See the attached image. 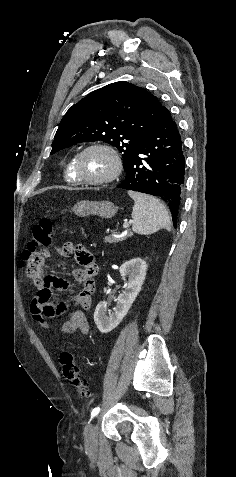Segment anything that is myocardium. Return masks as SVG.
<instances>
[{
    "label": "myocardium",
    "instance_id": "f54148a6",
    "mask_svg": "<svg viewBox=\"0 0 236 477\" xmlns=\"http://www.w3.org/2000/svg\"><path fill=\"white\" fill-rule=\"evenodd\" d=\"M91 150L102 151L111 159L112 169L109 174L97 179L86 178L81 174V171H80L81 159L87 152ZM73 169H74L75 175L77 176L79 184H88V185H95V186L105 185V184L111 183L119 176L122 170V161L118 152L113 147L104 143H93L83 148L77 154V156L75 157Z\"/></svg>",
    "mask_w": 236,
    "mask_h": 477
}]
</instances>
